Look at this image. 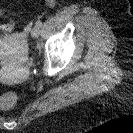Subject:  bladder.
<instances>
[{
  "label": "bladder",
  "instance_id": "obj_1",
  "mask_svg": "<svg viewBox=\"0 0 133 133\" xmlns=\"http://www.w3.org/2000/svg\"><path fill=\"white\" fill-rule=\"evenodd\" d=\"M18 61V57L14 50L5 51L0 49V65L4 63H15Z\"/></svg>",
  "mask_w": 133,
  "mask_h": 133
}]
</instances>
